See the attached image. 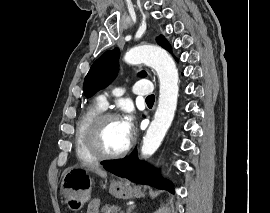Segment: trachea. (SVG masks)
Wrapping results in <instances>:
<instances>
[{
	"label": "trachea",
	"mask_w": 270,
	"mask_h": 213,
	"mask_svg": "<svg viewBox=\"0 0 270 213\" xmlns=\"http://www.w3.org/2000/svg\"><path fill=\"white\" fill-rule=\"evenodd\" d=\"M155 100V96L154 95H150L146 98V102H154Z\"/></svg>",
	"instance_id": "trachea-1"
}]
</instances>
